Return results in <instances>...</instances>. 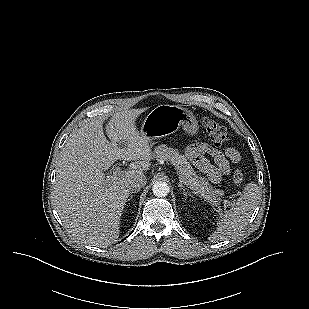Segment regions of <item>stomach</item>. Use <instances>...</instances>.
I'll list each match as a JSON object with an SVG mask.
<instances>
[{
	"label": "stomach",
	"mask_w": 309,
	"mask_h": 309,
	"mask_svg": "<svg viewBox=\"0 0 309 309\" xmlns=\"http://www.w3.org/2000/svg\"><path fill=\"white\" fill-rule=\"evenodd\" d=\"M180 127L188 135H195L198 132L196 117L185 108L164 104L149 112L140 132L151 143L153 140L175 133Z\"/></svg>",
	"instance_id": "stomach-1"
}]
</instances>
